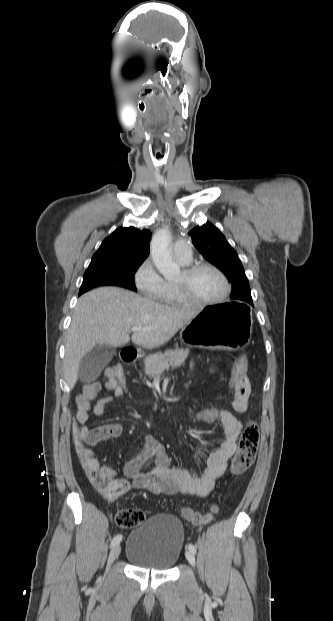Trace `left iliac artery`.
Segmentation results:
<instances>
[{
    "label": "left iliac artery",
    "mask_w": 333,
    "mask_h": 621,
    "mask_svg": "<svg viewBox=\"0 0 333 621\" xmlns=\"http://www.w3.org/2000/svg\"><path fill=\"white\" fill-rule=\"evenodd\" d=\"M188 548L194 554L196 553V547L192 543L188 544Z\"/></svg>",
    "instance_id": "obj_1"
}]
</instances>
